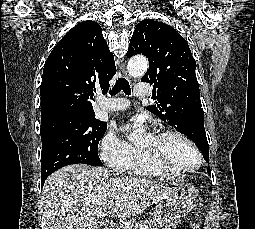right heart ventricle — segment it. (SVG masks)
Returning a JSON list of instances; mask_svg holds the SVG:
<instances>
[{
	"instance_id": "obj_1",
	"label": "right heart ventricle",
	"mask_w": 255,
	"mask_h": 229,
	"mask_svg": "<svg viewBox=\"0 0 255 229\" xmlns=\"http://www.w3.org/2000/svg\"><path fill=\"white\" fill-rule=\"evenodd\" d=\"M123 172L131 175L155 176L160 178H174L176 176L167 173L150 162L143 152L137 148L133 159L123 168Z\"/></svg>"
}]
</instances>
